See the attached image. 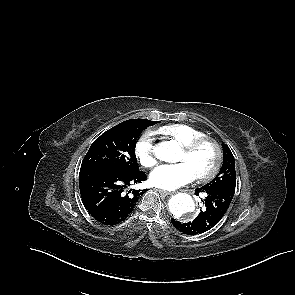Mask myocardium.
<instances>
[{"mask_svg": "<svg viewBox=\"0 0 295 295\" xmlns=\"http://www.w3.org/2000/svg\"><path fill=\"white\" fill-rule=\"evenodd\" d=\"M206 143H209L214 147L216 159L213 167L207 173L196 176L197 180H199L200 182H206L211 180L219 172L223 161V152L220 144L214 138L205 136L192 141L191 143L183 146L182 148L185 153L190 155L196 152L202 145Z\"/></svg>", "mask_w": 295, "mask_h": 295, "instance_id": "f54148a6", "label": "myocardium"}]
</instances>
